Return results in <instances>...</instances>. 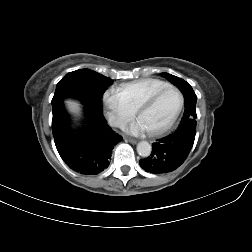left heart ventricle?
Returning <instances> with one entry per match:
<instances>
[{
  "mask_svg": "<svg viewBox=\"0 0 252 252\" xmlns=\"http://www.w3.org/2000/svg\"><path fill=\"white\" fill-rule=\"evenodd\" d=\"M179 104V96L174 91L163 93L153 105L139 114V119L147 130L163 126L172 116Z\"/></svg>",
  "mask_w": 252,
  "mask_h": 252,
  "instance_id": "obj_1",
  "label": "left heart ventricle"
}]
</instances>
